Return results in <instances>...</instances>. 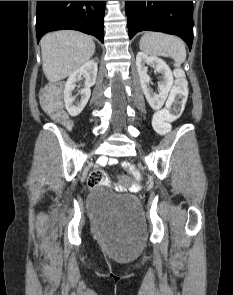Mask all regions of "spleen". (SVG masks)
<instances>
[{
  "mask_svg": "<svg viewBox=\"0 0 233 295\" xmlns=\"http://www.w3.org/2000/svg\"><path fill=\"white\" fill-rule=\"evenodd\" d=\"M140 49L151 56L171 57L177 63L186 59L184 42L177 36L160 33L146 32L140 39Z\"/></svg>",
  "mask_w": 233,
  "mask_h": 295,
  "instance_id": "1",
  "label": "spleen"
}]
</instances>
